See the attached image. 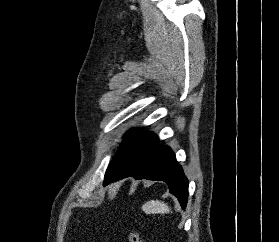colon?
I'll use <instances>...</instances> for the list:
<instances>
[{
  "instance_id": "colon-1",
  "label": "colon",
  "mask_w": 279,
  "mask_h": 242,
  "mask_svg": "<svg viewBox=\"0 0 279 242\" xmlns=\"http://www.w3.org/2000/svg\"><path fill=\"white\" fill-rule=\"evenodd\" d=\"M128 242H145L137 232L132 231L128 235Z\"/></svg>"
}]
</instances>
